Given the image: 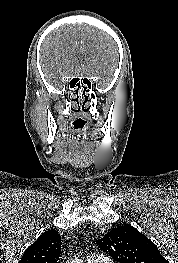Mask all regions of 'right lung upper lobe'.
<instances>
[{"label":"right lung upper lobe","mask_w":178,"mask_h":263,"mask_svg":"<svg viewBox=\"0 0 178 263\" xmlns=\"http://www.w3.org/2000/svg\"><path fill=\"white\" fill-rule=\"evenodd\" d=\"M61 244V237L57 231H45L25 250L19 263H57Z\"/></svg>","instance_id":"1"}]
</instances>
